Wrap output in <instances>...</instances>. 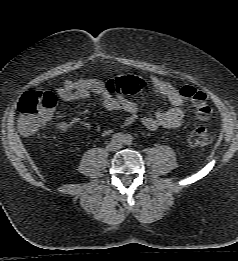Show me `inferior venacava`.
<instances>
[{
  "label": "inferior vena cava",
  "mask_w": 238,
  "mask_h": 261,
  "mask_svg": "<svg viewBox=\"0 0 238 261\" xmlns=\"http://www.w3.org/2000/svg\"><path fill=\"white\" fill-rule=\"evenodd\" d=\"M119 148H121V145H120V144H117L114 149L117 150V149H119Z\"/></svg>",
  "instance_id": "inferior-vena-cava-1"
}]
</instances>
